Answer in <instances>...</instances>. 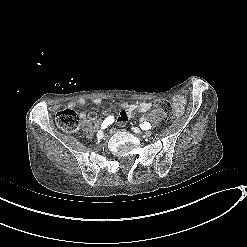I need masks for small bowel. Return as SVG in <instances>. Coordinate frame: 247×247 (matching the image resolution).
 Masks as SVG:
<instances>
[{
	"mask_svg": "<svg viewBox=\"0 0 247 247\" xmlns=\"http://www.w3.org/2000/svg\"><path fill=\"white\" fill-rule=\"evenodd\" d=\"M174 100H175V103L178 105L183 106L185 104V99L183 96H176ZM92 102L93 104L98 105L101 103V100L99 98H94ZM84 104H85V99L78 98L72 101L69 104V107H80V106H83ZM151 108H152V103L150 102H141L138 104L122 103L118 107L119 114H118L117 122L119 124H124L132 113L134 112L146 113L150 111ZM81 117L88 118L89 115L86 112H82Z\"/></svg>",
	"mask_w": 247,
	"mask_h": 247,
	"instance_id": "1",
	"label": "small bowel"
}]
</instances>
